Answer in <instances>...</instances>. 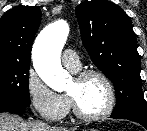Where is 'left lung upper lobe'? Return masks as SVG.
Instances as JSON below:
<instances>
[{
    "mask_svg": "<svg viewBox=\"0 0 147 131\" xmlns=\"http://www.w3.org/2000/svg\"><path fill=\"white\" fill-rule=\"evenodd\" d=\"M76 17L92 62L114 84L116 106L111 115L147 116L141 61L129 16L107 0H86L76 7Z\"/></svg>",
    "mask_w": 147,
    "mask_h": 131,
    "instance_id": "obj_1",
    "label": "left lung upper lobe"
}]
</instances>
